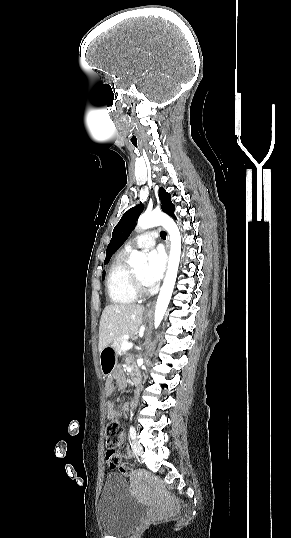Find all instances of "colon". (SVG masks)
I'll return each mask as SVG.
<instances>
[{
    "label": "colon",
    "instance_id": "obj_1",
    "mask_svg": "<svg viewBox=\"0 0 291 538\" xmlns=\"http://www.w3.org/2000/svg\"><path fill=\"white\" fill-rule=\"evenodd\" d=\"M106 442L108 446V451L106 454V459L109 465L119 468V470L125 474L129 475L131 471V466L122 462L119 456L115 452V447L123 439V429L121 428L119 422L116 419H111L105 428Z\"/></svg>",
    "mask_w": 291,
    "mask_h": 538
}]
</instances>
